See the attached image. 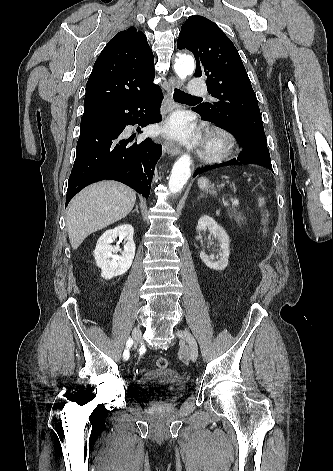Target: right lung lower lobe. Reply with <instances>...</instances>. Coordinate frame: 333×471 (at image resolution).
Segmentation results:
<instances>
[{
  "label": "right lung lower lobe",
  "mask_w": 333,
  "mask_h": 471,
  "mask_svg": "<svg viewBox=\"0 0 333 471\" xmlns=\"http://www.w3.org/2000/svg\"><path fill=\"white\" fill-rule=\"evenodd\" d=\"M163 94L159 86L120 104L100 109L81 118L76 159L66 196V206L85 186L104 179L122 182L146 199L161 145L150 138L133 143L124 139L127 125L158 123Z\"/></svg>",
  "instance_id": "right-lung-lower-lobe-1"
}]
</instances>
